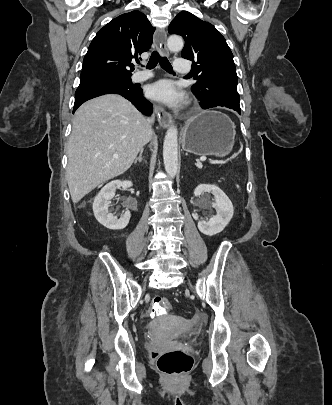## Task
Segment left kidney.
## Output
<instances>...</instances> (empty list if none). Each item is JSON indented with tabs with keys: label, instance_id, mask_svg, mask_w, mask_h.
Segmentation results:
<instances>
[{
	"label": "left kidney",
	"instance_id": "5707ae66",
	"mask_svg": "<svg viewBox=\"0 0 332 405\" xmlns=\"http://www.w3.org/2000/svg\"><path fill=\"white\" fill-rule=\"evenodd\" d=\"M205 192H210L214 195L212 207L216 210L217 214L208 221H199L198 229L205 235L213 236L224 230L233 216L234 208L228 196L218 186L200 184L195 188L194 195L200 196Z\"/></svg>",
	"mask_w": 332,
	"mask_h": 405
}]
</instances>
